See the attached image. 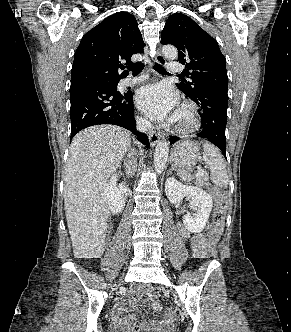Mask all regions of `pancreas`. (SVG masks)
I'll return each instance as SVG.
<instances>
[{
    "mask_svg": "<svg viewBox=\"0 0 291 332\" xmlns=\"http://www.w3.org/2000/svg\"><path fill=\"white\" fill-rule=\"evenodd\" d=\"M198 186H206L208 187L210 185L209 183V178L207 175H202V176H198L196 178V182H195Z\"/></svg>",
    "mask_w": 291,
    "mask_h": 332,
    "instance_id": "1",
    "label": "pancreas"
}]
</instances>
